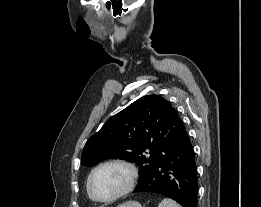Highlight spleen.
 <instances>
[{"mask_svg": "<svg viewBox=\"0 0 261 207\" xmlns=\"http://www.w3.org/2000/svg\"><path fill=\"white\" fill-rule=\"evenodd\" d=\"M158 207H181L179 206L175 201L171 200V199H163Z\"/></svg>", "mask_w": 261, "mask_h": 207, "instance_id": "spleen-1", "label": "spleen"}]
</instances>
